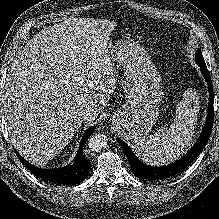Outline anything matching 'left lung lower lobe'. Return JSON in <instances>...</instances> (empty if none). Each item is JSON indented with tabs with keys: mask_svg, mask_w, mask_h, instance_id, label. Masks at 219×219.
<instances>
[{
	"mask_svg": "<svg viewBox=\"0 0 219 219\" xmlns=\"http://www.w3.org/2000/svg\"><path fill=\"white\" fill-rule=\"evenodd\" d=\"M197 63L201 68V72L209 88L208 115L202 134L200 135L194 146L190 149V151L185 156H183L181 159L177 160L172 164L162 167H151L143 164L133 154L130 147L124 141L118 138V143L120 144L126 157L128 158L132 172L138 178L145 180H152V181L171 178L182 172L185 168H187L195 160V158L202 152L205 145L207 144L209 137L211 135L213 121H214V109H213L214 93H213L212 81L208 69L206 67V64L203 62H197Z\"/></svg>",
	"mask_w": 219,
	"mask_h": 219,
	"instance_id": "1",
	"label": "left lung lower lobe"
}]
</instances>
